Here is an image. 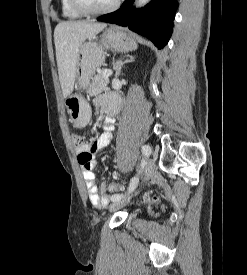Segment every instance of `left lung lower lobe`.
I'll list each match as a JSON object with an SVG mask.
<instances>
[{
	"mask_svg": "<svg viewBox=\"0 0 247 275\" xmlns=\"http://www.w3.org/2000/svg\"><path fill=\"white\" fill-rule=\"evenodd\" d=\"M133 2L134 0H125L117 11L97 20L128 27L150 39L158 49H162L172 34L177 0H151L138 10L133 8Z\"/></svg>",
	"mask_w": 247,
	"mask_h": 275,
	"instance_id": "left-lung-lower-lobe-1",
	"label": "left lung lower lobe"
}]
</instances>
